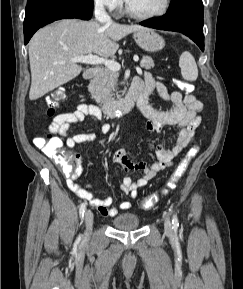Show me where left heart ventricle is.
<instances>
[{"label":"left heart ventricle","instance_id":"left-heart-ventricle-1","mask_svg":"<svg viewBox=\"0 0 243 289\" xmlns=\"http://www.w3.org/2000/svg\"><path fill=\"white\" fill-rule=\"evenodd\" d=\"M164 0H127L129 7L136 13L149 14L158 11Z\"/></svg>","mask_w":243,"mask_h":289}]
</instances>
